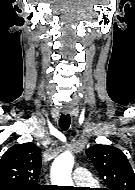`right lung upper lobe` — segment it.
Returning <instances> with one entry per match:
<instances>
[{
	"label": "right lung upper lobe",
	"mask_w": 135,
	"mask_h": 190,
	"mask_svg": "<svg viewBox=\"0 0 135 190\" xmlns=\"http://www.w3.org/2000/svg\"><path fill=\"white\" fill-rule=\"evenodd\" d=\"M41 150L29 142L10 147L0 159V190H36Z\"/></svg>",
	"instance_id": "right-lung-upper-lobe-1"
}]
</instances>
